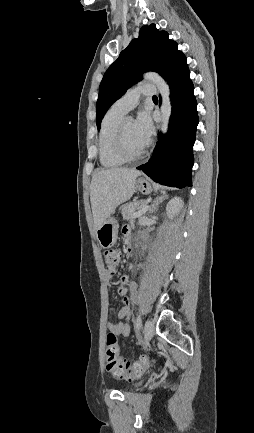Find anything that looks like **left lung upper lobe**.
Returning <instances> with one entry per match:
<instances>
[{"mask_svg": "<svg viewBox=\"0 0 254 433\" xmlns=\"http://www.w3.org/2000/svg\"><path fill=\"white\" fill-rule=\"evenodd\" d=\"M182 55L167 32L159 31L155 24L143 26L139 37L131 41L103 76L96 105L98 130L109 107L141 80L142 73L155 71L165 78Z\"/></svg>", "mask_w": 254, "mask_h": 433, "instance_id": "1", "label": "left lung upper lobe"}]
</instances>
